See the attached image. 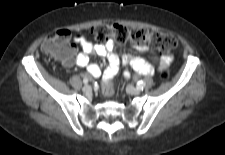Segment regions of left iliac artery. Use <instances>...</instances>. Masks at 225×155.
I'll list each match as a JSON object with an SVG mask.
<instances>
[{
    "label": "left iliac artery",
    "instance_id": "1",
    "mask_svg": "<svg viewBox=\"0 0 225 155\" xmlns=\"http://www.w3.org/2000/svg\"><path fill=\"white\" fill-rule=\"evenodd\" d=\"M144 87H145V83L143 81L137 82V89L143 90Z\"/></svg>",
    "mask_w": 225,
    "mask_h": 155
}]
</instances>
